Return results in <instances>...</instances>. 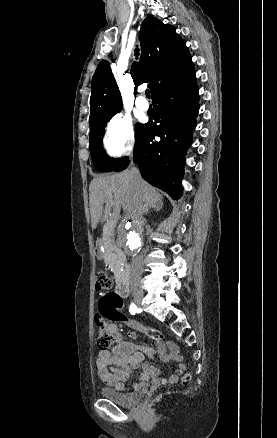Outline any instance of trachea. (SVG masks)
Wrapping results in <instances>:
<instances>
[{
  "instance_id": "3493384b",
  "label": "trachea",
  "mask_w": 277,
  "mask_h": 438,
  "mask_svg": "<svg viewBox=\"0 0 277 438\" xmlns=\"http://www.w3.org/2000/svg\"><path fill=\"white\" fill-rule=\"evenodd\" d=\"M138 55H139V49L136 48L135 49V56L137 57ZM145 94H146L147 98H150V90H146Z\"/></svg>"
}]
</instances>
